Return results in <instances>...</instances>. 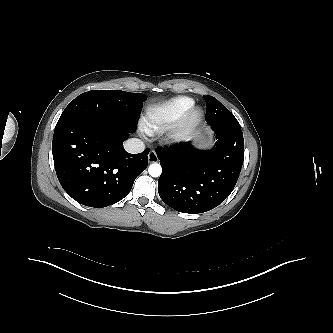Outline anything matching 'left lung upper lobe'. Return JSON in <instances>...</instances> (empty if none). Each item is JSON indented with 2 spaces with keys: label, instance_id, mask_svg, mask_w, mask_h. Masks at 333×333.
Segmentation results:
<instances>
[{
  "label": "left lung upper lobe",
  "instance_id": "obj_1",
  "mask_svg": "<svg viewBox=\"0 0 333 333\" xmlns=\"http://www.w3.org/2000/svg\"><path fill=\"white\" fill-rule=\"evenodd\" d=\"M206 101V121L208 124H233L239 125L234 115L225 108L216 98L204 96Z\"/></svg>",
  "mask_w": 333,
  "mask_h": 333
}]
</instances>
